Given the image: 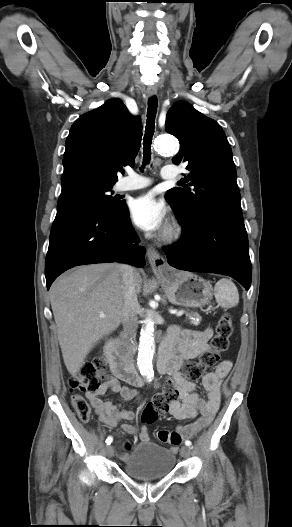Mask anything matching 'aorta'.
I'll list each match as a JSON object with an SVG mask.
<instances>
[{
	"instance_id": "762f6f07",
	"label": "aorta",
	"mask_w": 292,
	"mask_h": 527,
	"mask_svg": "<svg viewBox=\"0 0 292 527\" xmlns=\"http://www.w3.org/2000/svg\"><path fill=\"white\" fill-rule=\"evenodd\" d=\"M155 149L159 153L173 154L178 151V143L173 136H160L155 140ZM155 356V325L149 315L140 333L137 366L143 377L147 381H152L154 377L153 359Z\"/></svg>"
}]
</instances>
